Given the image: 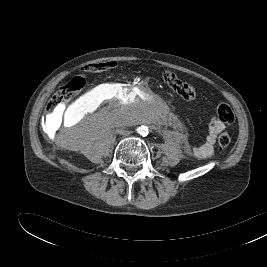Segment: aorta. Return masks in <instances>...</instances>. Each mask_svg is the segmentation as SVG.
Listing matches in <instances>:
<instances>
[{"instance_id": "aorta-1", "label": "aorta", "mask_w": 267, "mask_h": 267, "mask_svg": "<svg viewBox=\"0 0 267 267\" xmlns=\"http://www.w3.org/2000/svg\"><path fill=\"white\" fill-rule=\"evenodd\" d=\"M138 133H140L141 135H146L148 134V129L146 127H140L138 129Z\"/></svg>"}]
</instances>
